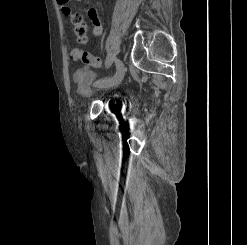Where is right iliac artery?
I'll return each mask as SVG.
<instances>
[{"label": "right iliac artery", "instance_id": "1", "mask_svg": "<svg viewBox=\"0 0 247 245\" xmlns=\"http://www.w3.org/2000/svg\"><path fill=\"white\" fill-rule=\"evenodd\" d=\"M111 63H112V60H111V58L110 57H108L107 58V61H106V63H105V68L107 69L110 65H111Z\"/></svg>", "mask_w": 247, "mask_h": 245}]
</instances>
